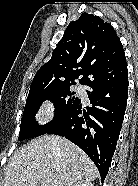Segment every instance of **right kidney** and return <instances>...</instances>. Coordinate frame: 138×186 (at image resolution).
Returning <instances> with one entry per match:
<instances>
[{"label": "right kidney", "mask_w": 138, "mask_h": 186, "mask_svg": "<svg viewBox=\"0 0 138 186\" xmlns=\"http://www.w3.org/2000/svg\"><path fill=\"white\" fill-rule=\"evenodd\" d=\"M73 186H93V184L90 181H79Z\"/></svg>", "instance_id": "ca27d5eb"}]
</instances>
